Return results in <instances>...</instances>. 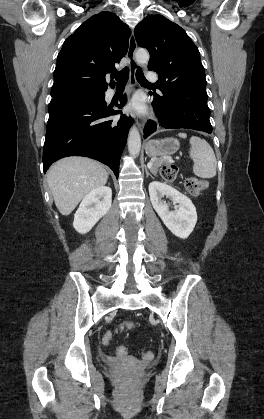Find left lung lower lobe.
<instances>
[{"label": "left lung lower lobe", "mask_w": 264, "mask_h": 419, "mask_svg": "<svg viewBox=\"0 0 264 419\" xmlns=\"http://www.w3.org/2000/svg\"><path fill=\"white\" fill-rule=\"evenodd\" d=\"M149 94L153 95V107L160 126L166 129H193L209 134L212 132L206 87L200 86L190 91L181 88L171 95L164 93L158 95L153 92ZM156 128L157 125L153 121H148L144 138L155 132Z\"/></svg>", "instance_id": "0a47b994"}]
</instances>
